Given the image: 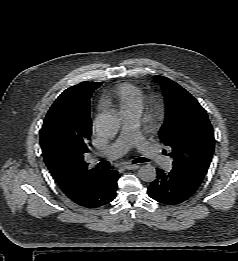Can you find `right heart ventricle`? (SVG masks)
<instances>
[{
    "instance_id": "1",
    "label": "right heart ventricle",
    "mask_w": 238,
    "mask_h": 261,
    "mask_svg": "<svg viewBox=\"0 0 238 261\" xmlns=\"http://www.w3.org/2000/svg\"><path fill=\"white\" fill-rule=\"evenodd\" d=\"M106 102L117 106L124 116L140 115L144 105V93L138 85L124 82L111 90L106 96Z\"/></svg>"
}]
</instances>
